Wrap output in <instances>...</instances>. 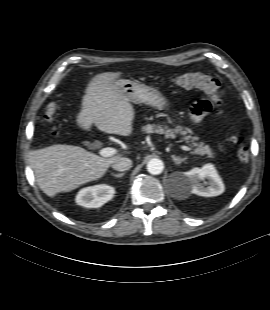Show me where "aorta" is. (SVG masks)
<instances>
[{
	"instance_id": "1",
	"label": "aorta",
	"mask_w": 270,
	"mask_h": 310,
	"mask_svg": "<svg viewBox=\"0 0 270 310\" xmlns=\"http://www.w3.org/2000/svg\"><path fill=\"white\" fill-rule=\"evenodd\" d=\"M164 169V164L160 159H151L147 163V170L152 175L161 174Z\"/></svg>"
}]
</instances>
